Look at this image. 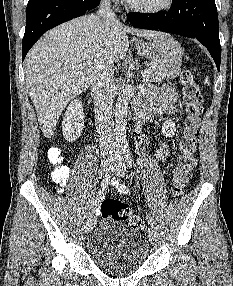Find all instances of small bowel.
I'll use <instances>...</instances> for the list:
<instances>
[{
    "label": "small bowel",
    "mask_w": 233,
    "mask_h": 286,
    "mask_svg": "<svg viewBox=\"0 0 233 286\" xmlns=\"http://www.w3.org/2000/svg\"><path fill=\"white\" fill-rule=\"evenodd\" d=\"M177 94L167 85L158 89H152V95L148 99L147 106L143 111L145 118L161 114H173L176 111ZM169 156V144L164 141L156 153V158L160 161L165 160ZM69 172L65 166L62 167ZM112 186L121 193H126L128 188L117 179L112 180Z\"/></svg>",
    "instance_id": "1"
}]
</instances>
